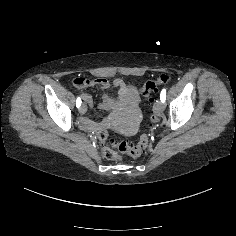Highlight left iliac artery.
<instances>
[{"instance_id":"1","label":"left iliac artery","mask_w":236,"mask_h":236,"mask_svg":"<svg viewBox=\"0 0 236 236\" xmlns=\"http://www.w3.org/2000/svg\"><path fill=\"white\" fill-rule=\"evenodd\" d=\"M160 100L164 103L166 100V89H163L160 94Z\"/></svg>"}]
</instances>
